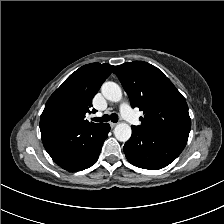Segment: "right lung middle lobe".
<instances>
[{
    "instance_id": "dd1d6c3e",
    "label": "right lung middle lobe",
    "mask_w": 224,
    "mask_h": 224,
    "mask_svg": "<svg viewBox=\"0 0 224 224\" xmlns=\"http://www.w3.org/2000/svg\"><path fill=\"white\" fill-rule=\"evenodd\" d=\"M46 118L65 121V116H64L63 112L59 109H54V110L50 111L46 115Z\"/></svg>"
}]
</instances>
